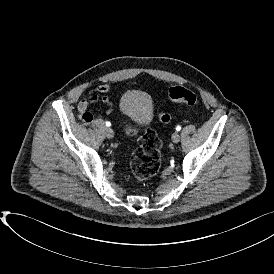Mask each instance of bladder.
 Returning <instances> with one entry per match:
<instances>
[{
	"instance_id": "obj_1",
	"label": "bladder",
	"mask_w": 274,
	"mask_h": 274,
	"mask_svg": "<svg viewBox=\"0 0 274 274\" xmlns=\"http://www.w3.org/2000/svg\"><path fill=\"white\" fill-rule=\"evenodd\" d=\"M120 112L135 126H145L152 117L153 107L149 95L145 92L132 90L120 100Z\"/></svg>"
}]
</instances>
